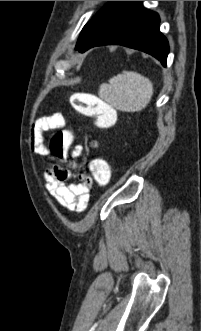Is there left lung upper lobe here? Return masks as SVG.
Returning <instances> with one entry per match:
<instances>
[{
    "label": "left lung upper lobe",
    "instance_id": "1",
    "mask_svg": "<svg viewBox=\"0 0 201 331\" xmlns=\"http://www.w3.org/2000/svg\"><path fill=\"white\" fill-rule=\"evenodd\" d=\"M119 1H112L103 7L96 15L92 18L82 29L80 37L77 42V46H79L96 28L99 22L111 11V9L118 3Z\"/></svg>",
    "mask_w": 201,
    "mask_h": 331
}]
</instances>
